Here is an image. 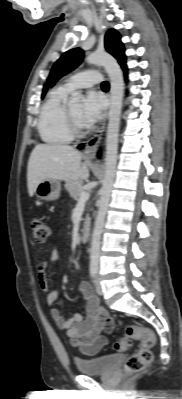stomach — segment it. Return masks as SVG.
Masks as SVG:
<instances>
[{"instance_id": "1", "label": "stomach", "mask_w": 182, "mask_h": 399, "mask_svg": "<svg viewBox=\"0 0 182 399\" xmlns=\"http://www.w3.org/2000/svg\"><path fill=\"white\" fill-rule=\"evenodd\" d=\"M61 184L56 179H46L41 181L36 189L35 194L43 200H56L60 196Z\"/></svg>"}]
</instances>
